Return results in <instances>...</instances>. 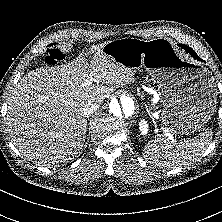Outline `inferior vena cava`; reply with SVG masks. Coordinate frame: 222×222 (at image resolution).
<instances>
[{"mask_svg": "<svg viewBox=\"0 0 222 222\" xmlns=\"http://www.w3.org/2000/svg\"><path fill=\"white\" fill-rule=\"evenodd\" d=\"M99 108V105L92 102V101H88L83 109H82V114L85 116V117H88L90 116L91 114H93L97 109Z\"/></svg>", "mask_w": 222, "mask_h": 222, "instance_id": "602c4592", "label": "inferior vena cava"}]
</instances>
